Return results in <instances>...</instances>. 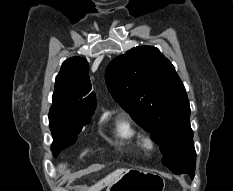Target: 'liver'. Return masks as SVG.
<instances>
[{
	"instance_id": "obj_1",
	"label": "liver",
	"mask_w": 233,
	"mask_h": 191,
	"mask_svg": "<svg viewBox=\"0 0 233 191\" xmlns=\"http://www.w3.org/2000/svg\"><path fill=\"white\" fill-rule=\"evenodd\" d=\"M124 170L125 169L123 168L115 170L114 172L108 174L105 178L97 182L95 185L88 188L87 191H101L104 187L110 186L119 178Z\"/></svg>"
}]
</instances>
